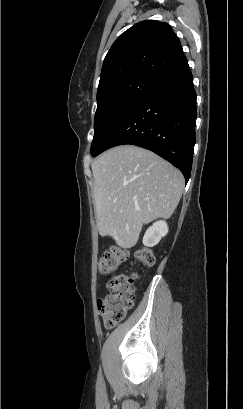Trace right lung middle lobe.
Returning a JSON list of instances; mask_svg holds the SVG:
<instances>
[{"label":"right lung middle lobe","instance_id":"obj_1","mask_svg":"<svg viewBox=\"0 0 243 409\" xmlns=\"http://www.w3.org/2000/svg\"><path fill=\"white\" fill-rule=\"evenodd\" d=\"M158 80L135 77L109 87L97 99L91 154L95 156L121 123L134 111Z\"/></svg>","mask_w":243,"mask_h":409}]
</instances>
